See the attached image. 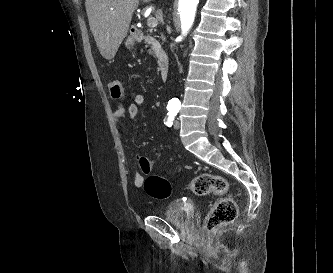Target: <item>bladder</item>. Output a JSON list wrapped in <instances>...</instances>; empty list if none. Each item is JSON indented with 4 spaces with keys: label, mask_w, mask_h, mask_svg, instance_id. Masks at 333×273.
I'll use <instances>...</instances> for the list:
<instances>
[{
    "label": "bladder",
    "mask_w": 333,
    "mask_h": 273,
    "mask_svg": "<svg viewBox=\"0 0 333 273\" xmlns=\"http://www.w3.org/2000/svg\"><path fill=\"white\" fill-rule=\"evenodd\" d=\"M195 208L193 204L175 201L168 204L162 213L163 218L178 227L188 226L194 219Z\"/></svg>",
    "instance_id": "bladder-1"
}]
</instances>
